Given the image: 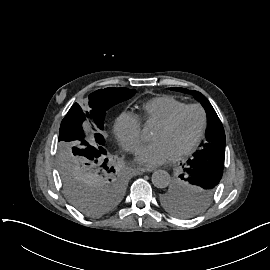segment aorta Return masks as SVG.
Here are the masks:
<instances>
[{"mask_svg": "<svg viewBox=\"0 0 270 270\" xmlns=\"http://www.w3.org/2000/svg\"><path fill=\"white\" fill-rule=\"evenodd\" d=\"M170 175L165 170H157L152 175V183L157 188H166L170 183Z\"/></svg>", "mask_w": 270, "mask_h": 270, "instance_id": "aorta-1", "label": "aorta"}]
</instances>
